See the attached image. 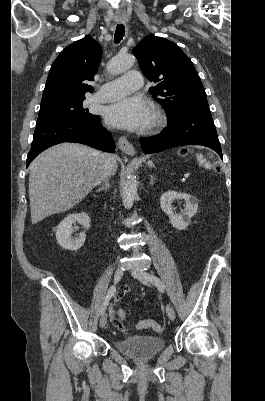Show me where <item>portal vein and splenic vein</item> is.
Wrapping results in <instances>:
<instances>
[{
  "label": "portal vein and splenic vein",
  "mask_w": 265,
  "mask_h": 401,
  "mask_svg": "<svg viewBox=\"0 0 265 401\" xmlns=\"http://www.w3.org/2000/svg\"><path fill=\"white\" fill-rule=\"evenodd\" d=\"M184 176L186 179H189L190 178L189 172H187V174H184Z\"/></svg>",
  "instance_id": "18ae733b"
}]
</instances>
